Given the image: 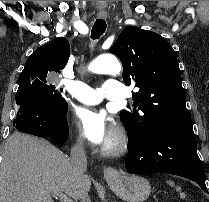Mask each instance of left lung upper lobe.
<instances>
[{"label": "left lung upper lobe", "instance_id": "obj_1", "mask_svg": "<svg viewBox=\"0 0 209 202\" xmlns=\"http://www.w3.org/2000/svg\"><path fill=\"white\" fill-rule=\"evenodd\" d=\"M109 51L122 62L125 84L139 88L132 94V107L120 113L129 139L148 140L171 127L192 124L177 56L163 37L128 26Z\"/></svg>", "mask_w": 209, "mask_h": 202}]
</instances>
